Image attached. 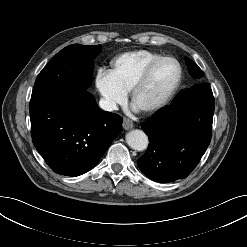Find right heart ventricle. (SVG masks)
<instances>
[{
  "label": "right heart ventricle",
  "instance_id": "1",
  "mask_svg": "<svg viewBox=\"0 0 247 247\" xmlns=\"http://www.w3.org/2000/svg\"><path fill=\"white\" fill-rule=\"evenodd\" d=\"M159 56L148 50L123 53L112 60L111 73L115 81L128 92L144 68Z\"/></svg>",
  "mask_w": 247,
  "mask_h": 247
}]
</instances>
